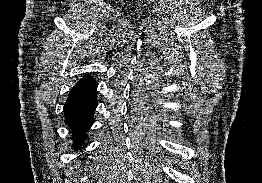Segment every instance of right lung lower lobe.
Masks as SVG:
<instances>
[{"instance_id": "1", "label": "right lung lower lobe", "mask_w": 262, "mask_h": 183, "mask_svg": "<svg viewBox=\"0 0 262 183\" xmlns=\"http://www.w3.org/2000/svg\"><path fill=\"white\" fill-rule=\"evenodd\" d=\"M97 85L90 75H85L71 89L65 103V123L75 134L73 147L76 150L81 147L82 142L86 139V131L94 122Z\"/></svg>"}]
</instances>
